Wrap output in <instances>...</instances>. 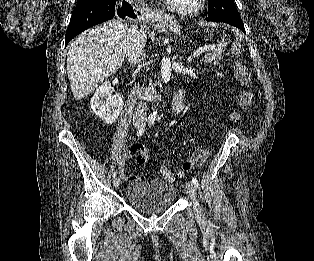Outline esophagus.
I'll return each instance as SVG.
<instances>
[{"instance_id":"obj_1","label":"esophagus","mask_w":314,"mask_h":261,"mask_svg":"<svg viewBox=\"0 0 314 261\" xmlns=\"http://www.w3.org/2000/svg\"><path fill=\"white\" fill-rule=\"evenodd\" d=\"M152 14H153V15H156V16L161 15V13H160V12H157V11H153Z\"/></svg>"}]
</instances>
